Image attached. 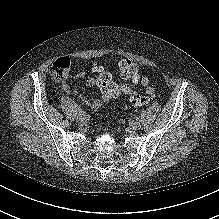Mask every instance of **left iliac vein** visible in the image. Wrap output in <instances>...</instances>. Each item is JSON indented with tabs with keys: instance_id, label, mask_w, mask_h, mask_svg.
<instances>
[{
	"instance_id": "1",
	"label": "left iliac vein",
	"mask_w": 219,
	"mask_h": 219,
	"mask_svg": "<svg viewBox=\"0 0 219 219\" xmlns=\"http://www.w3.org/2000/svg\"><path fill=\"white\" fill-rule=\"evenodd\" d=\"M130 128L132 130H139L141 128V123L139 121H133L130 123Z\"/></svg>"
}]
</instances>
